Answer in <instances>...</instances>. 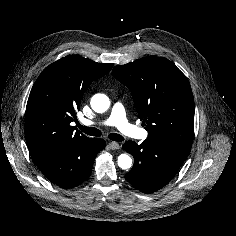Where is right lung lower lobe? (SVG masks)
Masks as SVG:
<instances>
[{"label": "right lung lower lobe", "instance_id": "obj_1", "mask_svg": "<svg viewBox=\"0 0 236 236\" xmlns=\"http://www.w3.org/2000/svg\"><path fill=\"white\" fill-rule=\"evenodd\" d=\"M104 147L103 139L92 138L69 145L35 161V164L53 184L69 189L80 185L90 176L94 159Z\"/></svg>", "mask_w": 236, "mask_h": 236}]
</instances>
